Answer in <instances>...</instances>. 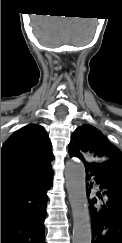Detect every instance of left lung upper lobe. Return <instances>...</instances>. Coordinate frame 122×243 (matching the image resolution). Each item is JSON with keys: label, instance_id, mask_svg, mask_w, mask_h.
Wrapping results in <instances>:
<instances>
[{"label": "left lung upper lobe", "instance_id": "5c2ea615", "mask_svg": "<svg viewBox=\"0 0 122 243\" xmlns=\"http://www.w3.org/2000/svg\"><path fill=\"white\" fill-rule=\"evenodd\" d=\"M68 151L71 157H78L83 161L103 163L115 160L122 162L121 151L91 125H82L74 131Z\"/></svg>", "mask_w": 122, "mask_h": 243}]
</instances>
